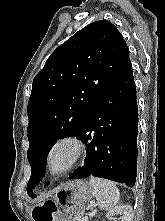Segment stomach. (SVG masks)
Masks as SVG:
<instances>
[{"label": "stomach", "mask_w": 165, "mask_h": 221, "mask_svg": "<svg viewBox=\"0 0 165 221\" xmlns=\"http://www.w3.org/2000/svg\"><path fill=\"white\" fill-rule=\"evenodd\" d=\"M94 196L91 184L84 180L67 182L57 191L51 200H38L33 208L32 217L35 221H76L72 216L81 212L84 204ZM68 217V218H56Z\"/></svg>", "instance_id": "1"}]
</instances>
